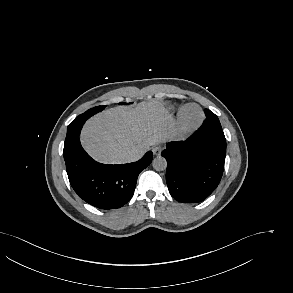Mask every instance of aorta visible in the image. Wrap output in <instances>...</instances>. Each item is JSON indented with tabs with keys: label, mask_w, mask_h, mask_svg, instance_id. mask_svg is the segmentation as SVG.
Masks as SVG:
<instances>
[{
	"label": "aorta",
	"mask_w": 293,
	"mask_h": 293,
	"mask_svg": "<svg viewBox=\"0 0 293 293\" xmlns=\"http://www.w3.org/2000/svg\"><path fill=\"white\" fill-rule=\"evenodd\" d=\"M153 168L156 171H163L167 167V161L162 156H157L152 162Z\"/></svg>",
	"instance_id": "762f6f07"
}]
</instances>
